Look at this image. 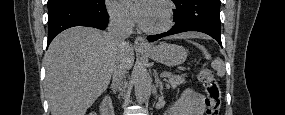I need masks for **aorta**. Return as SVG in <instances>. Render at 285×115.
Masks as SVG:
<instances>
[{
	"mask_svg": "<svg viewBox=\"0 0 285 115\" xmlns=\"http://www.w3.org/2000/svg\"><path fill=\"white\" fill-rule=\"evenodd\" d=\"M134 89L138 103L144 102L151 92V78L147 69L143 66L139 67L136 71Z\"/></svg>",
	"mask_w": 285,
	"mask_h": 115,
	"instance_id": "obj_1",
	"label": "aorta"
}]
</instances>
